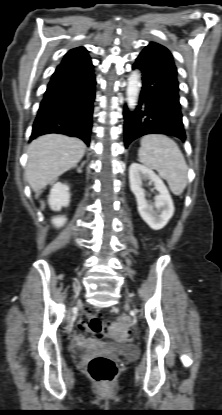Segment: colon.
Returning <instances> with one entry per match:
<instances>
[{"instance_id": "5ec220e1", "label": "colon", "mask_w": 222, "mask_h": 415, "mask_svg": "<svg viewBox=\"0 0 222 415\" xmlns=\"http://www.w3.org/2000/svg\"><path fill=\"white\" fill-rule=\"evenodd\" d=\"M78 328L82 333H90L97 337L110 336L115 339H125L135 335L134 331H127L120 323L108 325L99 316L90 314L81 316ZM87 372L93 380L107 383L115 378L117 366L112 358L97 356L89 361Z\"/></svg>"}]
</instances>
